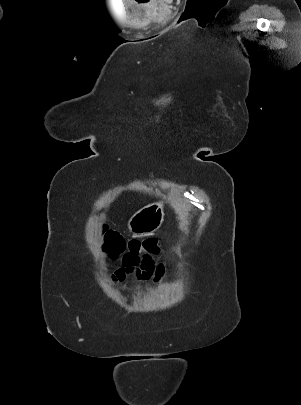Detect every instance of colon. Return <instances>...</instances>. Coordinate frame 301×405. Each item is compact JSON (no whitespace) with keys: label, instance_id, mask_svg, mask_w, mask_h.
Returning a JSON list of instances; mask_svg holds the SVG:
<instances>
[{"label":"colon","instance_id":"5ec220e1","mask_svg":"<svg viewBox=\"0 0 301 405\" xmlns=\"http://www.w3.org/2000/svg\"><path fill=\"white\" fill-rule=\"evenodd\" d=\"M101 233L104 239V250L112 259L120 256H139L141 253H158L159 251L154 235L143 241H126L119 233L109 230L107 227H102Z\"/></svg>","mask_w":301,"mask_h":405}]
</instances>
